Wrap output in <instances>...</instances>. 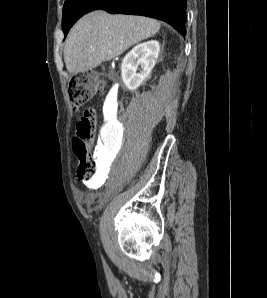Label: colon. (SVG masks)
<instances>
[{
  "label": "colon",
  "mask_w": 267,
  "mask_h": 298,
  "mask_svg": "<svg viewBox=\"0 0 267 298\" xmlns=\"http://www.w3.org/2000/svg\"><path fill=\"white\" fill-rule=\"evenodd\" d=\"M102 80L92 72L74 75L68 85V97L73 109L87 103L102 88ZM97 123L95 109L86 111L77 124V133L72 140L73 152L78 160V176L83 181H92L97 177L98 158L89 152L88 144L94 137Z\"/></svg>",
  "instance_id": "1"
}]
</instances>
